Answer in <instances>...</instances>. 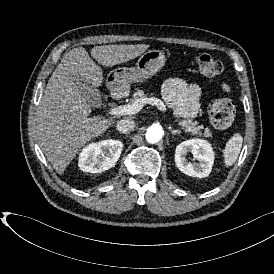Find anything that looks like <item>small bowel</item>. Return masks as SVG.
I'll return each mask as SVG.
<instances>
[{"mask_svg": "<svg viewBox=\"0 0 274 274\" xmlns=\"http://www.w3.org/2000/svg\"><path fill=\"white\" fill-rule=\"evenodd\" d=\"M220 89L224 93L231 91L226 83H222ZM162 93L167 104L174 108L179 118H192L200 112L201 89L198 84L187 83L181 78L172 77L164 82Z\"/></svg>", "mask_w": 274, "mask_h": 274, "instance_id": "obj_1", "label": "small bowel"}]
</instances>
